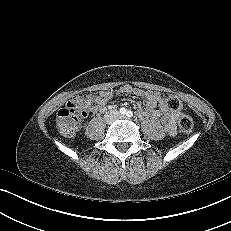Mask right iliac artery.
<instances>
[{"label":"right iliac artery","instance_id":"right-iliac-artery-1","mask_svg":"<svg viewBox=\"0 0 231 231\" xmlns=\"http://www.w3.org/2000/svg\"><path fill=\"white\" fill-rule=\"evenodd\" d=\"M120 113L124 115L126 113V109L125 108H121L120 109Z\"/></svg>","mask_w":231,"mask_h":231}]
</instances>
